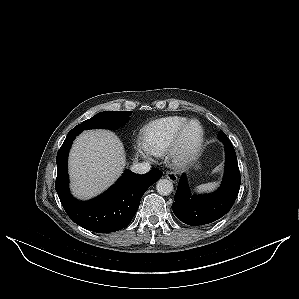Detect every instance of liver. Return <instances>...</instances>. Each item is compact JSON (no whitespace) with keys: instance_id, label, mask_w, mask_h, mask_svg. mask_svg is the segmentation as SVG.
Listing matches in <instances>:
<instances>
[{"instance_id":"obj_1","label":"liver","mask_w":299,"mask_h":299,"mask_svg":"<svg viewBox=\"0 0 299 299\" xmlns=\"http://www.w3.org/2000/svg\"><path fill=\"white\" fill-rule=\"evenodd\" d=\"M124 166V147L113 132L83 131L69 156L73 194L80 199L96 196L119 178Z\"/></svg>"}]
</instances>
